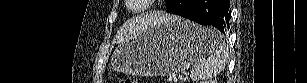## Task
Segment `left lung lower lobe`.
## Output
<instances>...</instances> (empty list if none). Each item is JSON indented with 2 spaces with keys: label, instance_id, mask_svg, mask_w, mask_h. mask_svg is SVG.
Masks as SVG:
<instances>
[{
  "label": "left lung lower lobe",
  "instance_id": "0a47b994",
  "mask_svg": "<svg viewBox=\"0 0 307 83\" xmlns=\"http://www.w3.org/2000/svg\"><path fill=\"white\" fill-rule=\"evenodd\" d=\"M167 11L200 25H212L224 34L230 29L229 0H173Z\"/></svg>",
  "mask_w": 307,
  "mask_h": 83
}]
</instances>
